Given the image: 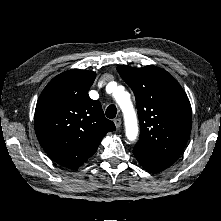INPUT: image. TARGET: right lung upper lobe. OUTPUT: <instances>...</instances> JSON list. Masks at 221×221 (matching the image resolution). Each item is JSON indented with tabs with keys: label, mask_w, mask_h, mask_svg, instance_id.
Wrapping results in <instances>:
<instances>
[{
	"label": "right lung upper lobe",
	"mask_w": 221,
	"mask_h": 221,
	"mask_svg": "<svg viewBox=\"0 0 221 221\" xmlns=\"http://www.w3.org/2000/svg\"><path fill=\"white\" fill-rule=\"evenodd\" d=\"M96 73L72 69L53 78L42 91L35 110V132L45 152L67 168L80 167L97 150L115 125L88 90Z\"/></svg>",
	"instance_id": "cb5924a9"
}]
</instances>
